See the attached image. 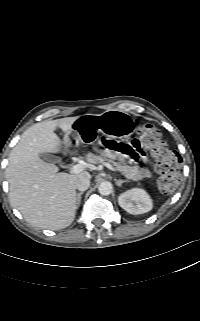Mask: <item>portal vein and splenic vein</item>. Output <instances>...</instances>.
<instances>
[{"label": "portal vein and splenic vein", "instance_id": "obj_1", "mask_svg": "<svg viewBox=\"0 0 200 321\" xmlns=\"http://www.w3.org/2000/svg\"><path fill=\"white\" fill-rule=\"evenodd\" d=\"M103 165L105 166V167H107L108 169H110V170H112V171H114V172H117L118 171V169H116L115 167H113L111 164H109V163H103ZM85 169V166H83V165H81V164H76V165H74V166H72L71 168H70V172L72 173V174H78V173H80V172H82L83 170Z\"/></svg>", "mask_w": 200, "mask_h": 321}]
</instances>
